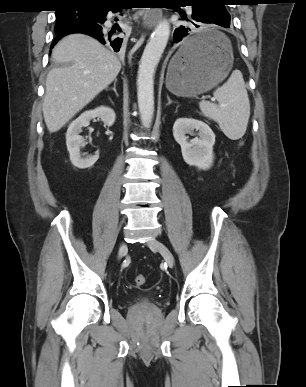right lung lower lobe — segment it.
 Listing matches in <instances>:
<instances>
[{"label": "right lung lower lobe", "mask_w": 306, "mask_h": 387, "mask_svg": "<svg viewBox=\"0 0 306 387\" xmlns=\"http://www.w3.org/2000/svg\"><path fill=\"white\" fill-rule=\"evenodd\" d=\"M123 8L118 5H111L105 8H95L91 10L86 22L76 24L72 27L56 32V38L53 41L51 48L63 36L70 33H84L97 38L102 44L111 46L116 52L120 50L123 39L116 37L120 28L114 27L111 30L104 25L106 15L109 11L114 13L121 12Z\"/></svg>", "instance_id": "98d812e1"}]
</instances>
